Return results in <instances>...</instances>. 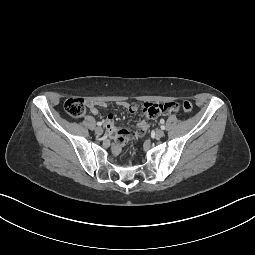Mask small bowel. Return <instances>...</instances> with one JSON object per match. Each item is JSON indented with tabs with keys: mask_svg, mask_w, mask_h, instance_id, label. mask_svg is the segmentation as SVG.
<instances>
[{
	"mask_svg": "<svg viewBox=\"0 0 255 255\" xmlns=\"http://www.w3.org/2000/svg\"><path fill=\"white\" fill-rule=\"evenodd\" d=\"M124 108L128 109L131 113L136 111L138 106L137 103L120 102L119 103ZM97 106L105 107L104 102H89L90 112L93 115L98 114ZM182 105L176 100L166 99L163 103H145L144 104V114L147 119H154L159 115L165 114H176L181 112ZM106 126L108 129L109 136L115 140L114 151L118 152L122 146L127 142L132 136H142L146 129L148 128L147 123L140 122L137 127V131L134 132L127 128H118L115 125L114 114H109L106 119Z\"/></svg>",
	"mask_w": 255,
	"mask_h": 255,
	"instance_id": "c3829d8e",
	"label": "small bowel"
}]
</instances>
